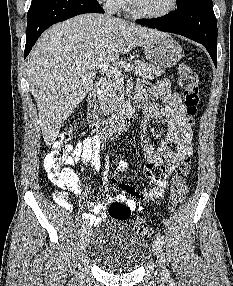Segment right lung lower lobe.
Listing matches in <instances>:
<instances>
[{
	"instance_id": "obj_1",
	"label": "right lung lower lobe",
	"mask_w": 233,
	"mask_h": 286,
	"mask_svg": "<svg viewBox=\"0 0 233 286\" xmlns=\"http://www.w3.org/2000/svg\"><path fill=\"white\" fill-rule=\"evenodd\" d=\"M84 13H104L97 0H32L27 14L24 59L50 26Z\"/></svg>"
}]
</instances>
